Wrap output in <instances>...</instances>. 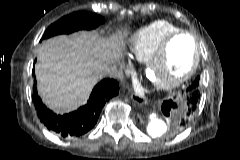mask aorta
Segmentation results:
<instances>
[{
    "label": "aorta",
    "instance_id": "aorta-1",
    "mask_svg": "<svg viewBox=\"0 0 240 160\" xmlns=\"http://www.w3.org/2000/svg\"><path fill=\"white\" fill-rule=\"evenodd\" d=\"M145 122L147 126V132L152 137L162 136L167 129L166 123L162 120L160 115L155 111H151L147 113Z\"/></svg>",
    "mask_w": 240,
    "mask_h": 160
}]
</instances>
